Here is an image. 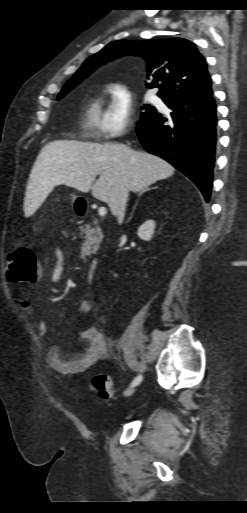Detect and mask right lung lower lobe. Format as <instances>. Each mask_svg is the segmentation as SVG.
<instances>
[{
	"label": "right lung lower lobe",
	"instance_id": "98d812e1",
	"mask_svg": "<svg viewBox=\"0 0 247 513\" xmlns=\"http://www.w3.org/2000/svg\"><path fill=\"white\" fill-rule=\"evenodd\" d=\"M169 118L157 111L136 128L143 147L190 178L210 200L216 151V103L213 94L166 100Z\"/></svg>",
	"mask_w": 247,
	"mask_h": 513
}]
</instances>
